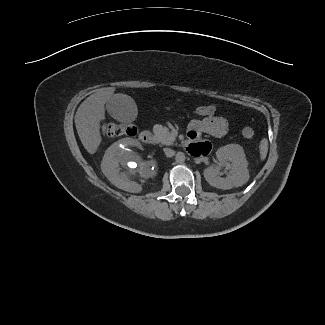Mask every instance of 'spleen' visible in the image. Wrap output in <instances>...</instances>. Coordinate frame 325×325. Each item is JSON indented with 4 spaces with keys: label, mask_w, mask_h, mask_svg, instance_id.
<instances>
[{
    "label": "spleen",
    "mask_w": 325,
    "mask_h": 325,
    "mask_svg": "<svg viewBox=\"0 0 325 325\" xmlns=\"http://www.w3.org/2000/svg\"><path fill=\"white\" fill-rule=\"evenodd\" d=\"M267 152H268V140L266 138H263L259 144V153L262 161L265 160L267 156Z\"/></svg>",
    "instance_id": "1"
}]
</instances>
